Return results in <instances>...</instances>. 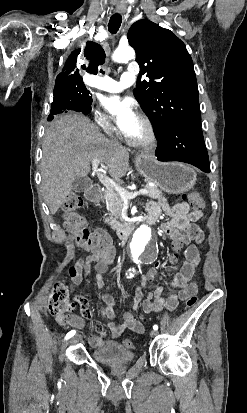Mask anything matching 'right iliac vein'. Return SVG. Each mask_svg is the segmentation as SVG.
<instances>
[{
	"label": "right iliac vein",
	"mask_w": 247,
	"mask_h": 413,
	"mask_svg": "<svg viewBox=\"0 0 247 413\" xmlns=\"http://www.w3.org/2000/svg\"><path fill=\"white\" fill-rule=\"evenodd\" d=\"M79 339H80V335H76L75 337H73V338L70 340L69 344H75L76 342L79 341Z\"/></svg>",
	"instance_id": "63e3f726"
}]
</instances>
